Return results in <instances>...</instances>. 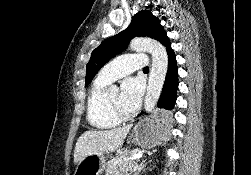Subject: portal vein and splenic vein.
<instances>
[{
  "label": "portal vein and splenic vein",
  "mask_w": 251,
  "mask_h": 175,
  "mask_svg": "<svg viewBox=\"0 0 251 175\" xmlns=\"http://www.w3.org/2000/svg\"><path fill=\"white\" fill-rule=\"evenodd\" d=\"M142 155L143 153H141V151H138V153H134V155H131V157H127V159L140 160Z\"/></svg>",
  "instance_id": "1"
}]
</instances>
